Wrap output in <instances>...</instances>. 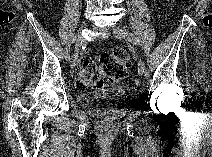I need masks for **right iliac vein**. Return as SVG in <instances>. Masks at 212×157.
I'll list each match as a JSON object with an SVG mask.
<instances>
[{
  "mask_svg": "<svg viewBox=\"0 0 212 157\" xmlns=\"http://www.w3.org/2000/svg\"><path fill=\"white\" fill-rule=\"evenodd\" d=\"M84 26H85V24L82 25V27H84ZM75 42H76L75 53L73 54L71 61H70V67L71 68H74L76 66V63H77L78 51H79V48H80L81 43H82L81 35H75Z\"/></svg>",
  "mask_w": 212,
  "mask_h": 157,
  "instance_id": "obj_1",
  "label": "right iliac vein"
}]
</instances>
